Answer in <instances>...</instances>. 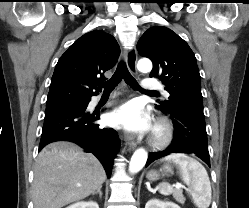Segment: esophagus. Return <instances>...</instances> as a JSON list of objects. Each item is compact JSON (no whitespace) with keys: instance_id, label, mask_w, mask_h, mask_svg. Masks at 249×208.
<instances>
[{"instance_id":"1","label":"esophagus","mask_w":249,"mask_h":208,"mask_svg":"<svg viewBox=\"0 0 249 208\" xmlns=\"http://www.w3.org/2000/svg\"><path fill=\"white\" fill-rule=\"evenodd\" d=\"M126 63L128 69L133 73H137L136 63H137V51L135 48H131L126 52ZM126 142L131 149H134L137 146L136 141L134 140L132 135L127 134Z\"/></svg>"}]
</instances>
